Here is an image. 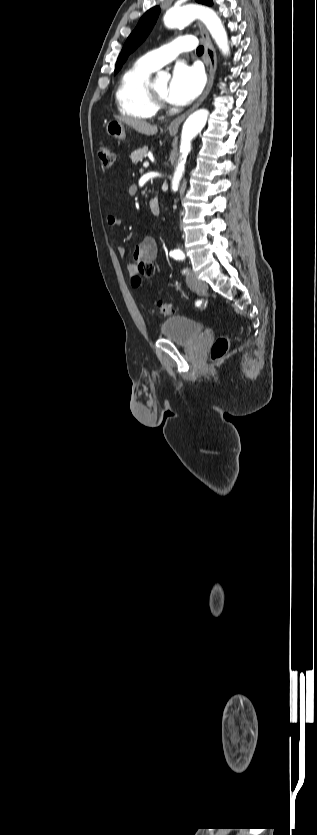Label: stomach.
I'll return each instance as SVG.
<instances>
[{
  "label": "stomach",
  "instance_id": "1",
  "mask_svg": "<svg viewBox=\"0 0 317 835\" xmlns=\"http://www.w3.org/2000/svg\"><path fill=\"white\" fill-rule=\"evenodd\" d=\"M125 131H126V127H125L124 123L119 121V120H110L106 124L107 135L111 136V137H113L117 140H124L125 139V136H126ZM170 134L174 135L175 132L170 131Z\"/></svg>",
  "mask_w": 317,
  "mask_h": 835
}]
</instances>
